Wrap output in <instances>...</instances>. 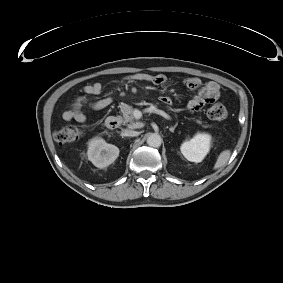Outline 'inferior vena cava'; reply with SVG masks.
<instances>
[{
	"mask_svg": "<svg viewBox=\"0 0 283 283\" xmlns=\"http://www.w3.org/2000/svg\"><path fill=\"white\" fill-rule=\"evenodd\" d=\"M123 134L125 136H131V137H135V136H138L139 135V132L137 131H134V130H130V129H125Z\"/></svg>",
	"mask_w": 283,
	"mask_h": 283,
	"instance_id": "1",
	"label": "inferior vena cava"
}]
</instances>
